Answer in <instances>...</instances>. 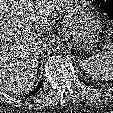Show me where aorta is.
<instances>
[{
	"label": "aorta",
	"mask_w": 113,
	"mask_h": 113,
	"mask_svg": "<svg viewBox=\"0 0 113 113\" xmlns=\"http://www.w3.org/2000/svg\"><path fill=\"white\" fill-rule=\"evenodd\" d=\"M43 47L48 53H55L61 47V39L58 36H48L43 42Z\"/></svg>",
	"instance_id": "obj_1"
}]
</instances>
